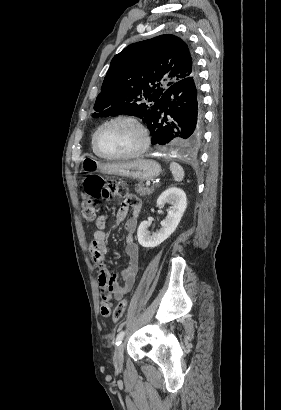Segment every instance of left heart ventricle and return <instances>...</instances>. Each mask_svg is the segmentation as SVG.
<instances>
[{
    "instance_id": "b2bd125f",
    "label": "left heart ventricle",
    "mask_w": 281,
    "mask_h": 410,
    "mask_svg": "<svg viewBox=\"0 0 281 410\" xmlns=\"http://www.w3.org/2000/svg\"><path fill=\"white\" fill-rule=\"evenodd\" d=\"M142 143L140 131L133 124L119 121L104 127L98 136L100 149L109 155H123L135 151Z\"/></svg>"
}]
</instances>
